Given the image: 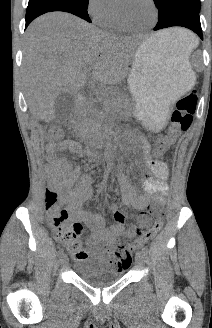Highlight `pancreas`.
Instances as JSON below:
<instances>
[{"label": "pancreas", "instance_id": "obj_1", "mask_svg": "<svg viewBox=\"0 0 212 328\" xmlns=\"http://www.w3.org/2000/svg\"><path fill=\"white\" fill-rule=\"evenodd\" d=\"M103 103V111L94 109L96 102ZM130 107V103L119 98L116 91L102 93L98 98L86 103L74 121V127L87 139H100L105 118Z\"/></svg>", "mask_w": 212, "mask_h": 328}]
</instances>
